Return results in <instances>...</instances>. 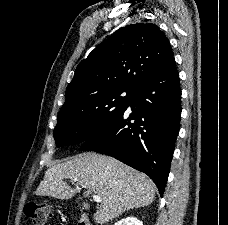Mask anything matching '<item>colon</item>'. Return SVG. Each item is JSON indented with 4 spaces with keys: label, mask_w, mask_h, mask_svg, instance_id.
<instances>
[{
    "label": "colon",
    "mask_w": 228,
    "mask_h": 225,
    "mask_svg": "<svg viewBox=\"0 0 228 225\" xmlns=\"http://www.w3.org/2000/svg\"><path fill=\"white\" fill-rule=\"evenodd\" d=\"M49 206L43 201H30L25 209V214L33 221L34 225H55L49 220Z\"/></svg>",
    "instance_id": "1"
}]
</instances>
